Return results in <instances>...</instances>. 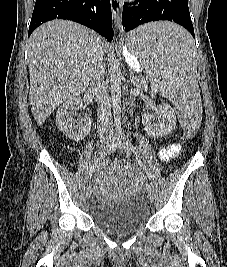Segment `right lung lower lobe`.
<instances>
[{
	"label": "right lung lower lobe",
	"instance_id": "1",
	"mask_svg": "<svg viewBox=\"0 0 227 267\" xmlns=\"http://www.w3.org/2000/svg\"><path fill=\"white\" fill-rule=\"evenodd\" d=\"M53 19L72 20L95 30L108 41L113 38L110 0H36L28 36Z\"/></svg>",
	"mask_w": 227,
	"mask_h": 267
}]
</instances>
